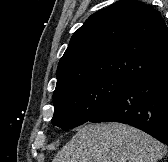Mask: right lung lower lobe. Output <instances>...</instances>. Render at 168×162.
<instances>
[{"instance_id": "obj_1", "label": "right lung lower lobe", "mask_w": 168, "mask_h": 162, "mask_svg": "<svg viewBox=\"0 0 168 162\" xmlns=\"http://www.w3.org/2000/svg\"><path fill=\"white\" fill-rule=\"evenodd\" d=\"M90 122H121L168 145V64L129 82Z\"/></svg>"}]
</instances>
